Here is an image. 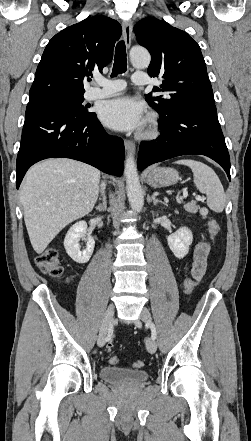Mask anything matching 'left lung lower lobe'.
Segmentation results:
<instances>
[{"instance_id":"1","label":"left lung lower lobe","mask_w":251,"mask_h":441,"mask_svg":"<svg viewBox=\"0 0 251 441\" xmlns=\"http://www.w3.org/2000/svg\"><path fill=\"white\" fill-rule=\"evenodd\" d=\"M161 134L143 142L137 160L147 166L180 155H205L220 164L230 179V158L218 121L216 107L185 108L159 121Z\"/></svg>"}]
</instances>
